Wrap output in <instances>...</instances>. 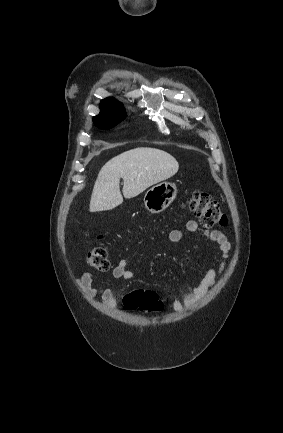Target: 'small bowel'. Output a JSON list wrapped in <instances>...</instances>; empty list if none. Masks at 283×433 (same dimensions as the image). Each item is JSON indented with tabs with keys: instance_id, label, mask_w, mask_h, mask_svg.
<instances>
[{
	"instance_id": "small-bowel-1",
	"label": "small bowel",
	"mask_w": 283,
	"mask_h": 433,
	"mask_svg": "<svg viewBox=\"0 0 283 433\" xmlns=\"http://www.w3.org/2000/svg\"><path fill=\"white\" fill-rule=\"evenodd\" d=\"M186 232H195L201 234L206 239L217 244L221 251L222 260L217 268H209L203 278L188 292L182 299L175 298L172 301V307L176 312H183L188 307L192 306L200 298L206 295L211 287L216 283L222 274L227 259L229 257L230 242L226 235L218 230H209L201 227L196 221L189 220L186 222L184 229H173L169 232L168 238L171 242L176 243L184 239ZM128 262L125 259L120 260L112 271V275L116 279L131 280L134 273L128 268ZM94 275L90 272H85L79 279V285L83 291L90 297L99 296L103 304L115 307L117 305L116 294L107 287H96L93 284Z\"/></svg>"
}]
</instances>
